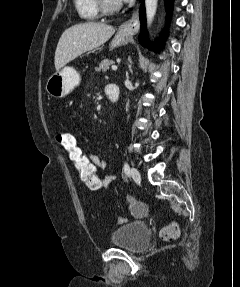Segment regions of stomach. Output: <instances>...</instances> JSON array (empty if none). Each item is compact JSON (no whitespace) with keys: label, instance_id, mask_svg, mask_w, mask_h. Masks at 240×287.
<instances>
[{"label":"stomach","instance_id":"obj_1","mask_svg":"<svg viewBox=\"0 0 240 287\" xmlns=\"http://www.w3.org/2000/svg\"><path fill=\"white\" fill-rule=\"evenodd\" d=\"M130 35L118 32L110 43L113 49L129 42ZM81 77L73 67H65L51 75L46 84L47 93L54 98H62L79 85Z\"/></svg>","mask_w":240,"mask_h":287}]
</instances>
